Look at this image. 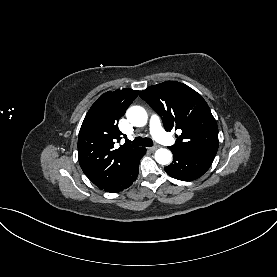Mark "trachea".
Listing matches in <instances>:
<instances>
[{
  "label": "trachea",
  "instance_id": "obj_1",
  "mask_svg": "<svg viewBox=\"0 0 277 277\" xmlns=\"http://www.w3.org/2000/svg\"><path fill=\"white\" fill-rule=\"evenodd\" d=\"M133 146H152L153 141L150 138L137 137L132 142Z\"/></svg>",
  "mask_w": 277,
  "mask_h": 277
}]
</instances>
